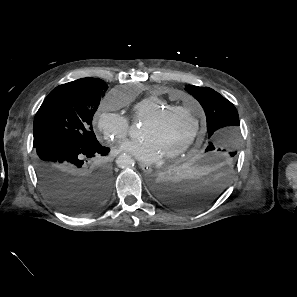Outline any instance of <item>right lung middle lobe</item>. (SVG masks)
<instances>
[{
    "label": "right lung middle lobe",
    "instance_id": "right-lung-middle-lobe-1",
    "mask_svg": "<svg viewBox=\"0 0 297 297\" xmlns=\"http://www.w3.org/2000/svg\"><path fill=\"white\" fill-rule=\"evenodd\" d=\"M107 88L97 78L78 79L56 87L35 116L34 146L50 139H65L85 147L98 145L92 118Z\"/></svg>",
    "mask_w": 297,
    "mask_h": 297
}]
</instances>
